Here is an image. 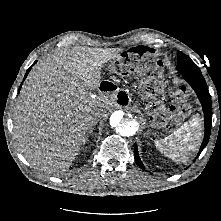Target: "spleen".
Here are the masks:
<instances>
[{
    "label": "spleen",
    "instance_id": "1",
    "mask_svg": "<svg viewBox=\"0 0 221 221\" xmlns=\"http://www.w3.org/2000/svg\"><path fill=\"white\" fill-rule=\"evenodd\" d=\"M201 121L198 116L185 122L179 129L164 139L156 140L155 146L167 157L177 162H185L198 146L202 135Z\"/></svg>",
    "mask_w": 221,
    "mask_h": 221
}]
</instances>
